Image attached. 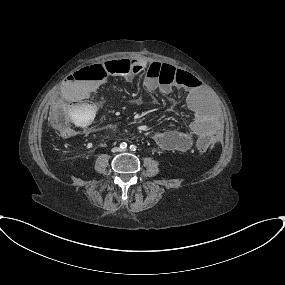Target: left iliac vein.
Instances as JSON below:
<instances>
[{"label":"left iliac vein","mask_w":285,"mask_h":285,"mask_svg":"<svg viewBox=\"0 0 285 285\" xmlns=\"http://www.w3.org/2000/svg\"><path fill=\"white\" fill-rule=\"evenodd\" d=\"M126 151H127L126 149L123 150V152H126Z\"/></svg>","instance_id":"1"}]
</instances>
